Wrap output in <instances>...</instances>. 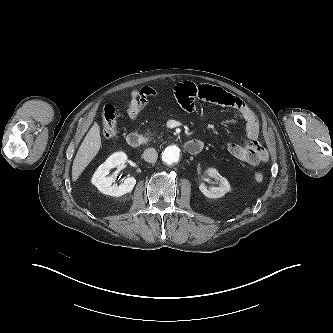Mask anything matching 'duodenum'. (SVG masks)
Returning <instances> with one entry per match:
<instances>
[{
    "label": "duodenum",
    "mask_w": 333,
    "mask_h": 333,
    "mask_svg": "<svg viewBox=\"0 0 333 333\" xmlns=\"http://www.w3.org/2000/svg\"><path fill=\"white\" fill-rule=\"evenodd\" d=\"M127 144L132 148H137L142 144V137L136 133L131 132L126 136ZM185 150L191 154H199L203 149V143L200 140H189L184 144Z\"/></svg>",
    "instance_id": "1"
}]
</instances>
